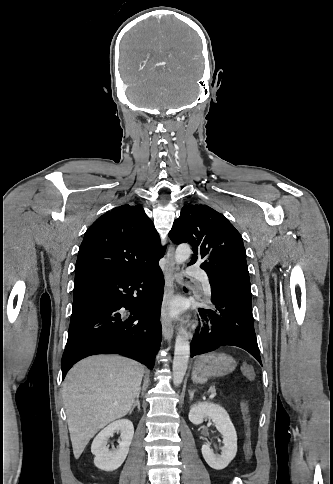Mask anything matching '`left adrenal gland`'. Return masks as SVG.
Segmentation results:
<instances>
[{
    "label": "left adrenal gland",
    "mask_w": 333,
    "mask_h": 484,
    "mask_svg": "<svg viewBox=\"0 0 333 484\" xmlns=\"http://www.w3.org/2000/svg\"><path fill=\"white\" fill-rule=\"evenodd\" d=\"M188 392H189V396H190V401H192L193 400V397H194V393L196 392V390L195 389L194 390H189Z\"/></svg>",
    "instance_id": "left-adrenal-gland-1"
}]
</instances>
